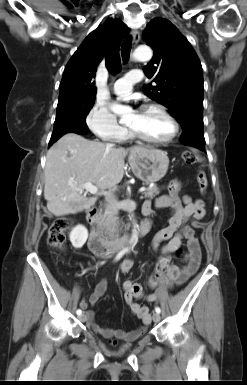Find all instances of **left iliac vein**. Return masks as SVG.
Returning a JSON list of instances; mask_svg holds the SVG:
<instances>
[{
    "mask_svg": "<svg viewBox=\"0 0 247 385\" xmlns=\"http://www.w3.org/2000/svg\"><path fill=\"white\" fill-rule=\"evenodd\" d=\"M152 318H153V321L156 322V323L159 322L160 319H161L160 314L157 313V312L153 314Z\"/></svg>",
    "mask_w": 247,
    "mask_h": 385,
    "instance_id": "1",
    "label": "left iliac vein"
}]
</instances>
